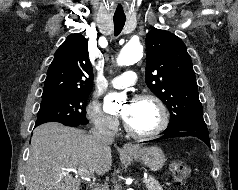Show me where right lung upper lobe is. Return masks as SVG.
<instances>
[{"label": "right lung upper lobe", "mask_w": 238, "mask_h": 190, "mask_svg": "<svg viewBox=\"0 0 238 190\" xmlns=\"http://www.w3.org/2000/svg\"><path fill=\"white\" fill-rule=\"evenodd\" d=\"M87 44L88 39L80 33L67 37L48 68L42 97L91 93L93 68Z\"/></svg>", "instance_id": "1"}]
</instances>
